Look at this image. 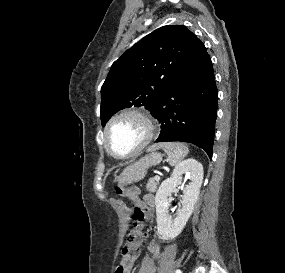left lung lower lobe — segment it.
Instances as JSON below:
<instances>
[{
	"mask_svg": "<svg viewBox=\"0 0 285 273\" xmlns=\"http://www.w3.org/2000/svg\"><path fill=\"white\" fill-rule=\"evenodd\" d=\"M217 101L210 56L193 34L177 76L152 113L162 128L156 142L193 143L212 158Z\"/></svg>",
	"mask_w": 285,
	"mask_h": 273,
	"instance_id": "left-lung-lower-lobe-1",
	"label": "left lung lower lobe"
}]
</instances>
